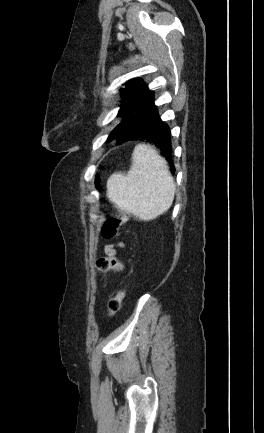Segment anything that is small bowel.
I'll return each instance as SVG.
<instances>
[{"label":"small bowel","instance_id":"1","mask_svg":"<svg viewBox=\"0 0 264 433\" xmlns=\"http://www.w3.org/2000/svg\"><path fill=\"white\" fill-rule=\"evenodd\" d=\"M105 252H106L108 255H115L116 250H115V248H114L113 245H107V246L105 247Z\"/></svg>","mask_w":264,"mask_h":433}]
</instances>
